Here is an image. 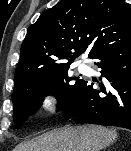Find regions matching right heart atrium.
Here are the masks:
<instances>
[{
    "label": "right heart atrium",
    "mask_w": 131,
    "mask_h": 151,
    "mask_svg": "<svg viewBox=\"0 0 131 151\" xmlns=\"http://www.w3.org/2000/svg\"><path fill=\"white\" fill-rule=\"evenodd\" d=\"M55 104H56V98L52 94L46 93L43 95L41 99V106L43 110L50 111L53 109Z\"/></svg>",
    "instance_id": "d8ad5b80"
}]
</instances>
